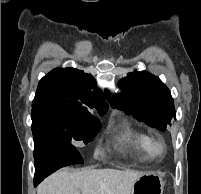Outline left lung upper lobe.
Masks as SVG:
<instances>
[{"instance_id": "1", "label": "left lung upper lobe", "mask_w": 201, "mask_h": 194, "mask_svg": "<svg viewBox=\"0 0 201 194\" xmlns=\"http://www.w3.org/2000/svg\"><path fill=\"white\" fill-rule=\"evenodd\" d=\"M120 87L122 93L115 95L113 108L161 131L176 119L173 98L158 77L145 71L129 73L121 80ZM107 99L110 102L108 95Z\"/></svg>"}]
</instances>
